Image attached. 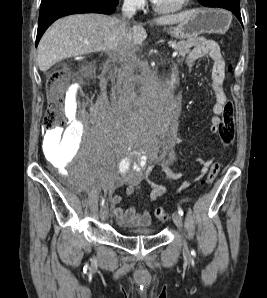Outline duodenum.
Returning <instances> with one entry per match:
<instances>
[{
  "instance_id": "obj_1",
  "label": "duodenum",
  "mask_w": 267,
  "mask_h": 298,
  "mask_svg": "<svg viewBox=\"0 0 267 298\" xmlns=\"http://www.w3.org/2000/svg\"><path fill=\"white\" fill-rule=\"evenodd\" d=\"M175 82H176V72L172 71L166 85L164 86H169V92H170L173 89Z\"/></svg>"
}]
</instances>
